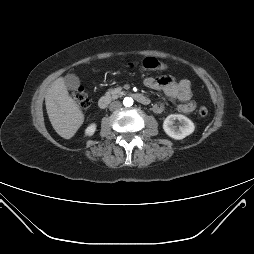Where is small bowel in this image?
Here are the masks:
<instances>
[{
	"label": "small bowel",
	"instance_id": "1",
	"mask_svg": "<svg viewBox=\"0 0 254 254\" xmlns=\"http://www.w3.org/2000/svg\"><path fill=\"white\" fill-rule=\"evenodd\" d=\"M146 87L164 92V94L173 100H178V110L182 113H191L196 108V103L192 100L191 83L188 79L176 80L171 75L161 77H146L143 80ZM156 114H160L164 110L161 103H155L152 107Z\"/></svg>",
	"mask_w": 254,
	"mask_h": 254
}]
</instances>
